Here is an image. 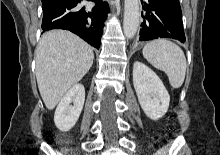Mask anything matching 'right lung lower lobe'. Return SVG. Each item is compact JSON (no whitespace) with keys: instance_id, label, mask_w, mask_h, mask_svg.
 Wrapping results in <instances>:
<instances>
[{"instance_id":"1","label":"right lung lower lobe","mask_w":220,"mask_h":155,"mask_svg":"<svg viewBox=\"0 0 220 155\" xmlns=\"http://www.w3.org/2000/svg\"><path fill=\"white\" fill-rule=\"evenodd\" d=\"M92 1L96 6L87 11L85 7L77 6L80 0H42L43 31L55 28L70 30L98 49L109 6L102 0Z\"/></svg>"}]
</instances>
